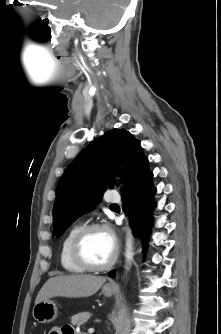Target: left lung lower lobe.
Segmentation results:
<instances>
[{"instance_id":"1","label":"left lung lower lobe","mask_w":221,"mask_h":334,"mask_svg":"<svg viewBox=\"0 0 221 334\" xmlns=\"http://www.w3.org/2000/svg\"><path fill=\"white\" fill-rule=\"evenodd\" d=\"M153 173L149 170L148 164L141 169L137 176L126 187L123 197V210L131 214L130 221L133 230L140 228L143 244L147 242L151 224V212L154 208L152 195L156 188L152 184ZM114 276V272H110Z\"/></svg>"}]
</instances>
